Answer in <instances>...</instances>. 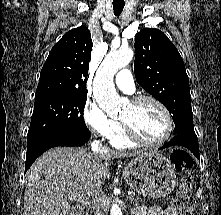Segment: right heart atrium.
<instances>
[{"label": "right heart atrium", "mask_w": 221, "mask_h": 215, "mask_svg": "<svg viewBox=\"0 0 221 215\" xmlns=\"http://www.w3.org/2000/svg\"><path fill=\"white\" fill-rule=\"evenodd\" d=\"M84 123L92 133L104 139L112 138L119 129V122L110 118L101 107L87 100L82 111Z\"/></svg>", "instance_id": "d8ad5b80"}]
</instances>
